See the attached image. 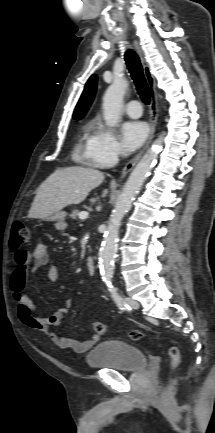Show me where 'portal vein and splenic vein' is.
Returning a JSON list of instances; mask_svg holds the SVG:
<instances>
[{"instance_id":"portal-vein-and-splenic-vein-1","label":"portal vein and splenic vein","mask_w":215,"mask_h":433,"mask_svg":"<svg viewBox=\"0 0 215 433\" xmlns=\"http://www.w3.org/2000/svg\"><path fill=\"white\" fill-rule=\"evenodd\" d=\"M87 217H88V212H81V213L79 214V218H80L81 220H85Z\"/></svg>"}]
</instances>
